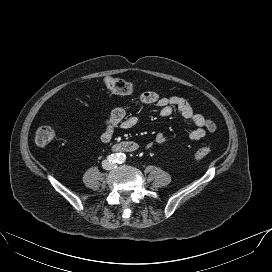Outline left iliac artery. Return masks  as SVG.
<instances>
[{
    "instance_id": "left-iliac-artery-1",
    "label": "left iliac artery",
    "mask_w": 272,
    "mask_h": 272,
    "mask_svg": "<svg viewBox=\"0 0 272 272\" xmlns=\"http://www.w3.org/2000/svg\"><path fill=\"white\" fill-rule=\"evenodd\" d=\"M125 159H126V156H125L124 154L119 155L118 163H119V164L124 163V162H125Z\"/></svg>"
}]
</instances>
